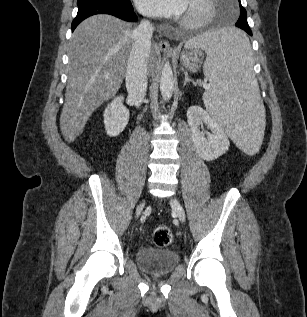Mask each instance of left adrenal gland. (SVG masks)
<instances>
[{
  "label": "left adrenal gland",
  "mask_w": 307,
  "mask_h": 317,
  "mask_svg": "<svg viewBox=\"0 0 307 317\" xmlns=\"http://www.w3.org/2000/svg\"><path fill=\"white\" fill-rule=\"evenodd\" d=\"M190 82L195 84L194 81L188 77V73H185V79H184V84L183 85L185 86L187 83H190Z\"/></svg>",
  "instance_id": "left-adrenal-gland-1"
}]
</instances>
